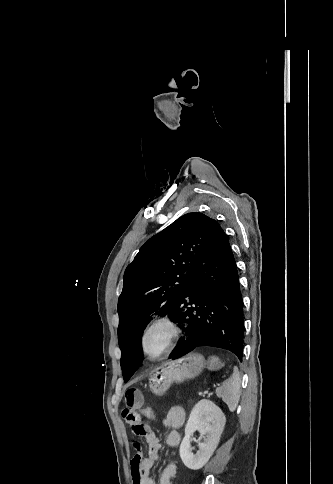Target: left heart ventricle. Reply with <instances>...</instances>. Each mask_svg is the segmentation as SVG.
<instances>
[{"instance_id":"b2bd125f","label":"left heart ventricle","mask_w":333,"mask_h":484,"mask_svg":"<svg viewBox=\"0 0 333 484\" xmlns=\"http://www.w3.org/2000/svg\"><path fill=\"white\" fill-rule=\"evenodd\" d=\"M166 335V329L161 327L154 329L147 338V349L152 353L156 352L162 346Z\"/></svg>"}]
</instances>
